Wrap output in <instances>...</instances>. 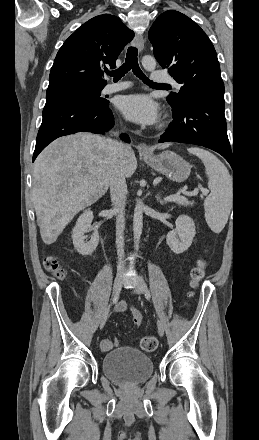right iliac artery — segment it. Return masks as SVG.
Returning a JSON list of instances; mask_svg holds the SVG:
<instances>
[{
	"instance_id": "1",
	"label": "right iliac artery",
	"mask_w": 259,
	"mask_h": 440,
	"mask_svg": "<svg viewBox=\"0 0 259 440\" xmlns=\"http://www.w3.org/2000/svg\"><path fill=\"white\" fill-rule=\"evenodd\" d=\"M118 296H119V293L114 297L113 302H116L118 300Z\"/></svg>"
}]
</instances>
